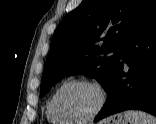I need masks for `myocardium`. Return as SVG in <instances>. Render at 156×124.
Instances as JSON below:
<instances>
[{
	"label": "myocardium",
	"instance_id": "obj_1",
	"mask_svg": "<svg viewBox=\"0 0 156 124\" xmlns=\"http://www.w3.org/2000/svg\"><path fill=\"white\" fill-rule=\"evenodd\" d=\"M75 85H86L94 88L96 92L98 93L99 96V102L96 108L93 110L92 113H90L88 116L80 118V119H70L65 117L57 107V101L60 96V94L65 90L66 88L70 86H75ZM107 103V93L104 87L96 80L92 79H87V78H79V79H73L70 81H67L63 83L57 91L54 93L51 101V108L56 117L59 119L63 120L66 123L70 124H82V123H87L89 121L94 120L104 109L105 105Z\"/></svg>",
	"mask_w": 156,
	"mask_h": 124
}]
</instances>
